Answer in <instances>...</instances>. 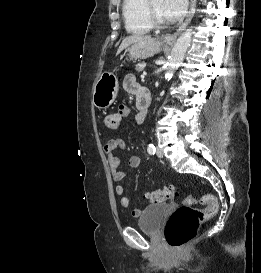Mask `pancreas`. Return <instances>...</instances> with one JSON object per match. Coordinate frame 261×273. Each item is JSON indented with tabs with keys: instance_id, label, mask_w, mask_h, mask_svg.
Here are the masks:
<instances>
[{
	"instance_id": "pancreas-1",
	"label": "pancreas",
	"mask_w": 261,
	"mask_h": 273,
	"mask_svg": "<svg viewBox=\"0 0 261 273\" xmlns=\"http://www.w3.org/2000/svg\"><path fill=\"white\" fill-rule=\"evenodd\" d=\"M145 66H146V63L141 62V63H138L135 65V69H136V71L141 72L144 70Z\"/></svg>"
}]
</instances>
